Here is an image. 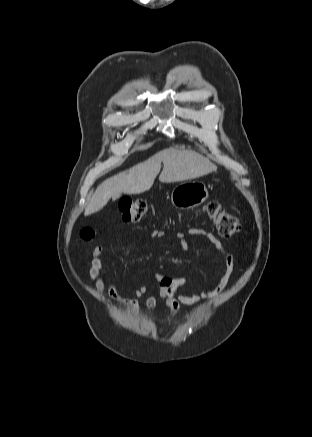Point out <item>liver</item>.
Here are the masks:
<instances>
[{"label": "liver", "instance_id": "6515ba94", "mask_svg": "<svg viewBox=\"0 0 312 437\" xmlns=\"http://www.w3.org/2000/svg\"><path fill=\"white\" fill-rule=\"evenodd\" d=\"M161 162L164 167L159 181L163 183L194 179L217 170L215 164L195 151L164 149L148 160L103 181L85 208L84 215L98 212L111 198H117L122 193L140 194L149 190L160 172Z\"/></svg>", "mask_w": 312, "mask_h": 437}]
</instances>
